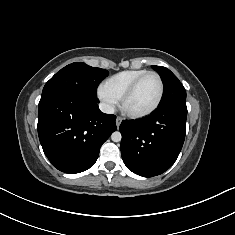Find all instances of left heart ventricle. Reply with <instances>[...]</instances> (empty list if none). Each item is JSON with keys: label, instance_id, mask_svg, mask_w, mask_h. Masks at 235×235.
Wrapping results in <instances>:
<instances>
[{"label": "left heart ventricle", "instance_id": "1", "mask_svg": "<svg viewBox=\"0 0 235 235\" xmlns=\"http://www.w3.org/2000/svg\"><path fill=\"white\" fill-rule=\"evenodd\" d=\"M159 81L156 76L145 77L133 95L127 100L126 107L130 111H144L150 108L159 95Z\"/></svg>", "mask_w": 235, "mask_h": 235}]
</instances>
